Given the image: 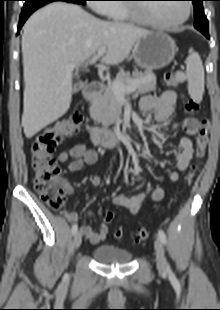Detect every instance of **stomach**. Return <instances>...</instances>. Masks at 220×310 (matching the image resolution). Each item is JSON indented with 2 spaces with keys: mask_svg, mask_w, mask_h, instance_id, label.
<instances>
[{
  "mask_svg": "<svg viewBox=\"0 0 220 310\" xmlns=\"http://www.w3.org/2000/svg\"><path fill=\"white\" fill-rule=\"evenodd\" d=\"M175 51L176 44L168 34L151 32L135 42L132 56L140 67L151 71L169 65Z\"/></svg>",
  "mask_w": 220,
  "mask_h": 310,
  "instance_id": "1",
  "label": "stomach"
}]
</instances>
